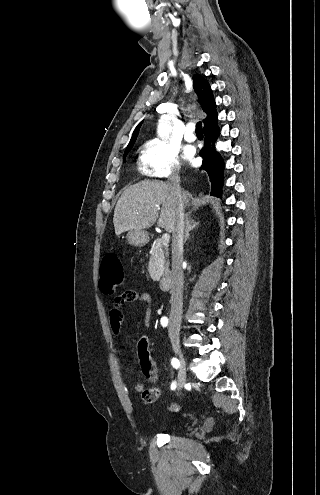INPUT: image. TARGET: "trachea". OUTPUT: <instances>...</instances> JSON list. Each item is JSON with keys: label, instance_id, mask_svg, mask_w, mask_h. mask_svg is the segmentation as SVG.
Masks as SVG:
<instances>
[{"label": "trachea", "instance_id": "1", "mask_svg": "<svg viewBox=\"0 0 320 495\" xmlns=\"http://www.w3.org/2000/svg\"><path fill=\"white\" fill-rule=\"evenodd\" d=\"M196 134L197 135H203V132H202V123L200 121L197 122V124H196Z\"/></svg>", "mask_w": 320, "mask_h": 495}]
</instances>
